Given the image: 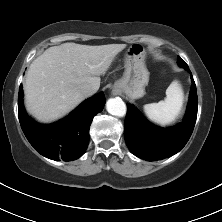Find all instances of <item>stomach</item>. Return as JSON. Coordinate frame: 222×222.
<instances>
[{"label":"stomach","mask_w":222,"mask_h":222,"mask_svg":"<svg viewBox=\"0 0 222 222\" xmlns=\"http://www.w3.org/2000/svg\"><path fill=\"white\" fill-rule=\"evenodd\" d=\"M145 56V49L138 43L127 49L124 75L114 83L116 91L125 93L132 99L144 96L145 86L149 82V71L145 65Z\"/></svg>","instance_id":"0dacf381"}]
</instances>
